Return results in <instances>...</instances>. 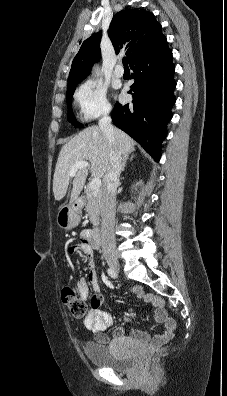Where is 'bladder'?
Returning a JSON list of instances; mask_svg holds the SVG:
<instances>
[{
	"mask_svg": "<svg viewBox=\"0 0 227 396\" xmlns=\"http://www.w3.org/2000/svg\"><path fill=\"white\" fill-rule=\"evenodd\" d=\"M84 353L92 365L114 372H128L137 364L135 354L124 352L116 345L105 346L89 342L84 346Z\"/></svg>",
	"mask_w": 227,
	"mask_h": 396,
	"instance_id": "bladder-1",
	"label": "bladder"
}]
</instances>
